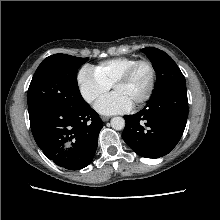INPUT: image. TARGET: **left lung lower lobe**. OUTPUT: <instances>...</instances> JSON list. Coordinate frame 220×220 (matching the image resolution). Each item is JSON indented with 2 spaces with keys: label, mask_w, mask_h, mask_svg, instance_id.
<instances>
[{
  "label": "left lung lower lobe",
  "mask_w": 220,
  "mask_h": 220,
  "mask_svg": "<svg viewBox=\"0 0 220 220\" xmlns=\"http://www.w3.org/2000/svg\"><path fill=\"white\" fill-rule=\"evenodd\" d=\"M188 117L186 85H178L152 96L134 115L124 116L123 140L145 158L165 156L177 145Z\"/></svg>",
  "instance_id": "0a47b994"
}]
</instances>
